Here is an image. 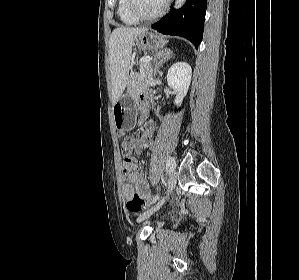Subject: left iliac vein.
Masks as SVG:
<instances>
[{
  "instance_id": "4c4485c4",
  "label": "left iliac vein",
  "mask_w": 299,
  "mask_h": 280,
  "mask_svg": "<svg viewBox=\"0 0 299 280\" xmlns=\"http://www.w3.org/2000/svg\"><path fill=\"white\" fill-rule=\"evenodd\" d=\"M176 182H177V172L175 170H173L170 175H169V178H168V181H167V190H166V195L165 197L160 201L158 202L154 207H152L151 209L147 210L146 212H144L138 219V221H142L146 218H148L150 215H152L154 212H156L160 207L161 205L164 203L165 199L167 198V196L173 191V189L175 188V185H176Z\"/></svg>"
}]
</instances>
